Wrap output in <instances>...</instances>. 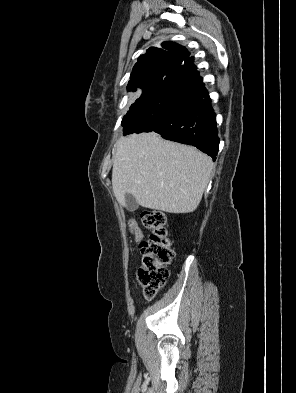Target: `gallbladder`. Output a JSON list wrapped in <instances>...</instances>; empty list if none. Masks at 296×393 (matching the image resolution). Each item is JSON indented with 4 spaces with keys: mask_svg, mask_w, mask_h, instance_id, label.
<instances>
[{
    "mask_svg": "<svg viewBox=\"0 0 296 393\" xmlns=\"http://www.w3.org/2000/svg\"><path fill=\"white\" fill-rule=\"evenodd\" d=\"M125 203H126V208L129 211H135L138 209V203L136 199L133 197V195L130 193L125 194Z\"/></svg>",
    "mask_w": 296,
    "mask_h": 393,
    "instance_id": "1",
    "label": "gallbladder"
}]
</instances>
